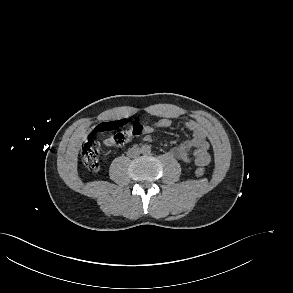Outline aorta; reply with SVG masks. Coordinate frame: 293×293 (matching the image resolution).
Wrapping results in <instances>:
<instances>
[{"label":"aorta","mask_w":293,"mask_h":293,"mask_svg":"<svg viewBox=\"0 0 293 293\" xmlns=\"http://www.w3.org/2000/svg\"><path fill=\"white\" fill-rule=\"evenodd\" d=\"M141 152L143 154H149L151 152V148L148 146V145H144L142 148H141Z\"/></svg>","instance_id":"aorta-1"}]
</instances>
